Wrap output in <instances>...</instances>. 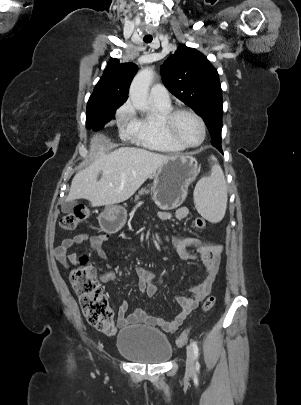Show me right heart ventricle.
<instances>
[{
	"label": "right heart ventricle",
	"mask_w": 301,
	"mask_h": 405,
	"mask_svg": "<svg viewBox=\"0 0 301 405\" xmlns=\"http://www.w3.org/2000/svg\"><path fill=\"white\" fill-rule=\"evenodd\" d=\"M156 113L153 116L136 117L127 130V136L138 145L164 153H178L184 150L161 129V117L171 111V106H162L153 103Z\"/></svg>",
	"instance_id": "right-heart-ventricle-1"
}]
</instances>
